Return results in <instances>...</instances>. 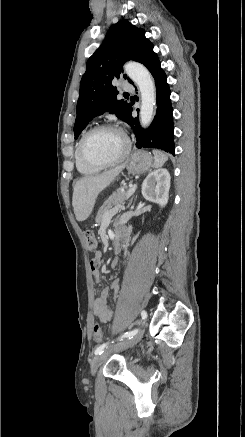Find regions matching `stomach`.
Segmentation results:
<instances>
[{
	"label": "stomach",
	"mask_w": 245,
	"mask_h": 437,
	"mask_svg": "<svg viewBox=\"0 0 245 437\" xmlns=\"http://www.w3.org/2000/svg\"><path fill=\"white\" fill-rule=\"evenodd\" d=\"M126 166L130 174H143L153 166V157L148 152L136 151L131 154Z\"/></svg>",
	"instance_id": "1"
}]
</instances>
